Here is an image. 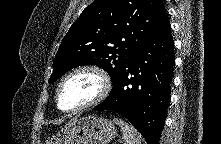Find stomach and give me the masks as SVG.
<instances>
[{
  "instance_id": "0dacf381",
  "label": "stomach",
  "mask_w": 221,
  "mask_h": 144,
  "mask_svg": "<svg viewBox=\"0 0 221 144\" xmlns=\"http://www.w3.org/2000/svg\"><path fill=\"white\" fill-rule=\"evenodd\" d=\"M115 135V126L107 118L76 117L54 135L48 144H107Z\"/></svg>"
}]
</instances>
